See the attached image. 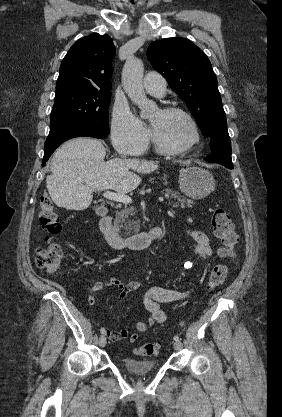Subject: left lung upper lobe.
<instances>
[{
	"instance_id": "1",
	"label": "left lung upper lobe",
	"mask_w": 282,
	"mask_h": 417,
	"mask_svg": "<svg viewBox=\"0 0 282 417\" xmlns=\"http://www.w3.org/2000/svg\"><path fill=\"white\" fill-rule=\"evenodd\" d=\"M147 57L185 100L205 137L226 126L217 78L200 48L186 38L162 39L149 45Z\"/></svg>"
}]
</instances>
